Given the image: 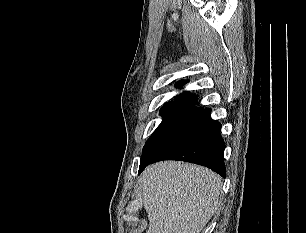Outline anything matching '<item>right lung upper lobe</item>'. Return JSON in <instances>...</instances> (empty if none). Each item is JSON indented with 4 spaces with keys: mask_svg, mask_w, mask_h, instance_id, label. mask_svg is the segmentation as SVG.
I'll list each match as a JSON object with an SVG mask.
<instances>
[{
    "mask_svg": "<svg viewBox=\"0 0 306 233\" xmlns=\"http://www.w3.org/2000/svg\"><path fill=\"white\" fill-rule=\"evenodd\" d=\"M185 83L186 81H180L176 84V87L181 88ZM174 99L175 101L170 102L185 103L190 105H194L197 103V97L187 92H184L183 94L174 97Z\"/></svg>",
    "mask_w": 306,
    "mask_h": 233,
    "instance_id": "right-lung-upper-lobe-1",
    "label": "right lung upper lobe"
}]
</instances>
